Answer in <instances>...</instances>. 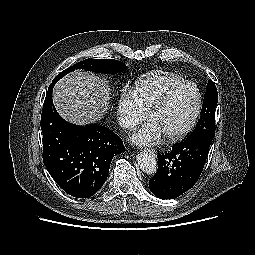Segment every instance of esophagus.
<instances>
[{
	"mask_svg": "<svg viewBox=\"0 0 255 255\" xmlns=\"http://www.w3.org/2000/svg\"><path fill=\"white\" fill-rule=\"evenodd\" d=\"M144 151L150 152V153H152L154 155L156 154L155 149H152V148H145Z\"/></svg>",
	"mask_w": 255,
	"mask_h": 255,
	"instance_id": "esophagus-1",
	"label": "esophagus"
}]
</instances>
